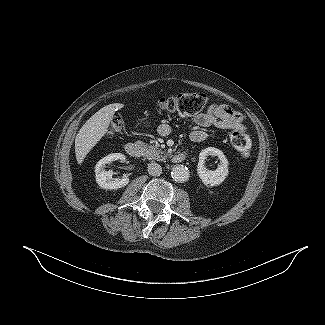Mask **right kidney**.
Masks as SVG:
<instances>
[{
  "instance_id": "1",
  "label": "right kidney",
  "mask_w": 325,
  "mask_h": 325,
  "mask_svg": "<svg viewBox=\"0 0 325 325\" xmlns=\"http://www.w3.org/2000/svg\"><path fill=\"white\" fill-rule=\"evenodd\" d=\"M116 160H125V155L121 153H112L99 160L95 166V177L97 184L103 189H119L129 183V178H112L113 172L106 171L105 165Z\"/></svg>"
}]
</instances>
